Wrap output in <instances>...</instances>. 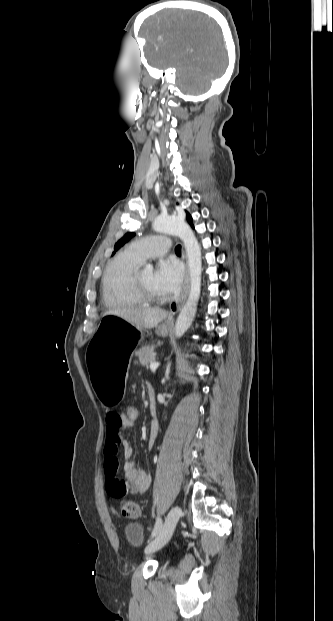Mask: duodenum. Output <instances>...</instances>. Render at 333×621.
<instances>
[{"label": "duodenum", "mask_w": 333, "mask_h": 621, "mask_svg": "<svg viewBox=\"0 0 333 621\" xmlns=\"http://www.w3.org/2000/svg\"><path fill=\"white\" fill-rule=\"evenodd\" d=\"M149 400H150V404H151V415L153 417L152 424L153 425H157V422H156V419H155V409H154V403H155L154 391H153L152 388H150V390H149Z\"/></svg>", "instance_id": "1"}]
</instances>
